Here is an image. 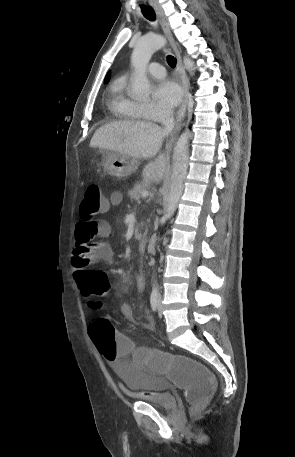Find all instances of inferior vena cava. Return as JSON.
I'll return each mask as SVG.
<instances>
[{
    "label": "inferior vena cava",
    "mask_w": 295,
    "mask_h": 457,
    "mask_svg": "<svg viewBox=\"0 0 295 457\" xmlns=\"http://www.w3.org/2000/svg\"><path fill=\"white\" fill-rule=\"evenodd\" d=\"M160 120L164 125L166 132H171L174 128V115L171 109H163L161 111Z\"/></svg>",
    "instance_id": "602c4592"
}]
</instances>
